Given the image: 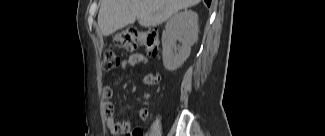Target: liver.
<instances>
[{"mask_svg": "<svg viewBox=\"0 0 325 136\" xmlns=\"http://www.w3.org/2000/svg\"><path fill=\"white\" fill-rule=\"evenodd\" d=\"M200 0H101L98 25L109 36L137 19L142 27L157 26Z\"/></svg>", "mask_w": 325, "mask_h": 136, "instance_id": "6515ba94", "label": "liver"}]
</instances>
